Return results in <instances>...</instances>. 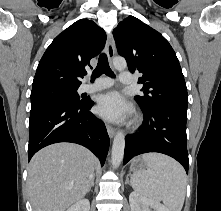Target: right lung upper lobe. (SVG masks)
Instances as JSON below:
<instances>
[{
  "instance_id": "obj_1",
  "label": "right lung upper lobe",
  "mask_w": 221,
  "mask_h": 211,
  "mask_svg": "<svg viewBox=\"0 0 221 211\" xmlns=\"http://www.w3.org/2000/svg\"><path fill=\"white\" fill-rule=\"evenodd\" d=\"M106 34L95 22L80 19L60 33L42 56L32 91L78 88L90 60L103 49Z\"/></svg>"
}]
</instances>
